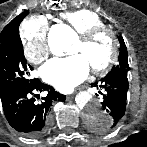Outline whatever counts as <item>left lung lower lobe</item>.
<instances>
[{"instance_id": "obj_1", "label": "left lung lower lobe", "mask_w": 147, "mask_h": 147, "mask_svg": "<svg viewBox=\"0 0 147 147\" xmlns=\"http://www.w3.org/2000/svg\"><path fill=\"white\" fill-rule=\"evenodd\" d=\"M100 82L101 85L99 87L105 90L102 106L109 113L111 119L106 124L94 126L100 131H110L117 126L125 113L127 91L129 88L127 71H121L102 78ZM91 85L98 87V82L92 83Z\"/></svg>"}]
</instances>
